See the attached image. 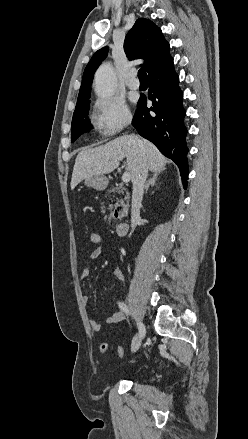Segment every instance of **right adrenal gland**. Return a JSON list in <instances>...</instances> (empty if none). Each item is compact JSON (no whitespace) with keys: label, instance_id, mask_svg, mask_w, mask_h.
<instances>
[{"label":"right adrenal gland","instance_id":"2a0ac1e0","mask_svg":"<svg viewBox=\"0 0 248 439\" xmlns=\"http://www.w3.org/2000/svg\"><path fill=\"white\" fill-rule=\"evenodd\" d=\"M162 173V171H156L153 173L152 177L146 182L145 185V193H147L150 186H154L158 176Z\"/></svg>","mask_w":248,"mask_h":439}]
</instances>
